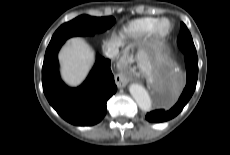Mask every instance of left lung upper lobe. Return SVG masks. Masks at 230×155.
<instances>
[{"label":"left lung upper lobe","mask_w":230,"mask_h":155,"mask_svg":"<svg viewBox=\"0 0 230 155\" xmlns=\"http://www.w3.org/2000/svg\"><path fill=\"white\" fill-rule=\"evenodd\" d=\"M177 42L182 51L195 49L192 36L184 23L180 25V34Z\"/></svg>","instance_id":"left-lung-upper-lobe-1"}]
</instances>
